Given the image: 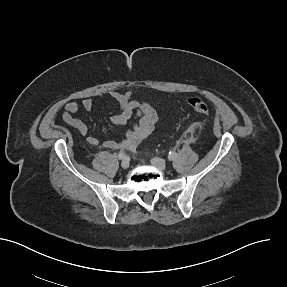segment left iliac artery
<instances>
[{
	"label": "left iliac artery",
	"instance_id": "44dca946",
	"mask_svg": "<svg viewBox=\"0 0 287 287\" xmlns=\"http://www.w3.org/2000/svg\"><path fill=\"white\" fill-rule=\"evenodd\" d=\"M177 157V153L176 152H169L168 154V159L169 160H174Z\"/></svg>",
	"mask_w": 287,
	"mask_h": 287
}]
</instances>
